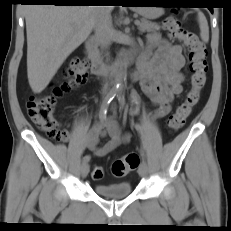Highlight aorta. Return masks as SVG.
I'll return each mask as SVG.
<instances>
[{"label": "aorta", "instance_id": "obj_1", "mask_svg": "<svg viewBox=\"0 0 231 231\" xmlns=\"http://www.w3.org/2000/svg\"><path fill=\"white\" fill-rule=\"evenodd\" d=\"M126 73L125 72H120L116 78H115V86L117 90H121L123 87V82L125 79Z\"/></svg>", "mask_w": 231, "mask_h": 231}]
</instances>
